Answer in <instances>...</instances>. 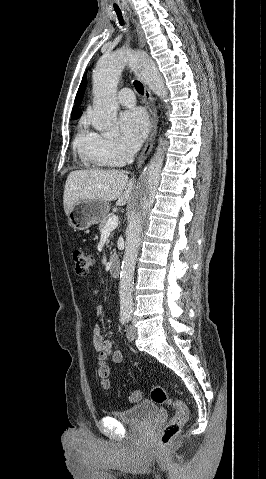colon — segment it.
<instances>
[{
  "mask_svg": "<svg viewBox=\"0 0 266 479\" xmlns=\"http://www.w3.org/2000/svg\"><path fill=\"white\" fill-rule=\"evenodd\" d=\"M72 259L76 273L80 276H86L94 263L93 256L81 248L74 249ZM97 376L102 388L109 389V367L106 364V355L104 353H101L98 358ZM150 397L157 404L171 406L175 412L160 435V442L163 445H168L180 433L181 428L187 422L190 414L189 409L182 400L171 397L161 386H155L150 393ZM142 398L143 393L140 390H134L130 394L132 402H138Z\"/></svg>",
  "mask_w": 266,
  "mask_h": 479,
  "instance_id": "colon-1",
  "label": "colon"
}]
</instances>
